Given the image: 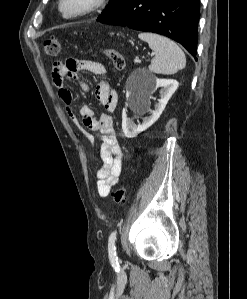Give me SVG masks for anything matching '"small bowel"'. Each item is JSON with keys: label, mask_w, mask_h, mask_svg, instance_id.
I'll use <instances>...</instances> for the list:
<instances>
[{"label": "small bowel", "mask_w": 247, "mask_h": 299, "mask_svg": "<svg viewBox=\"0 0 247 299\" xmlns=\"http://www.w3.org/2000/svg\"><path fill=\"white\" fill-rule=\"evenodd\" d=\"M89 71L95 75H105V66L92 60L68 59L64 63L55 62L52 65L53 83L59 90V97L64 103L68 115L75 125L78 126L84 138L93 143L94 137L87 133L78 123L72 111L74 103L73 95L65 87L66 77L75 79L81 87L88 91L89 85L81 79V71ZM96 99L104 107L105 112L96 118L92 108L86 104L80 107L79 113L82 124L91 131L97 132L100 139L101 166L97 170V192L99 196L106 197L111 189L117 184L122 172L123 152L118 143L113 127L112 113L118 102V94L106 81H100L95 90Z\"/></svg>", "instance_id": "small-bowel-1"}]
</instances>
